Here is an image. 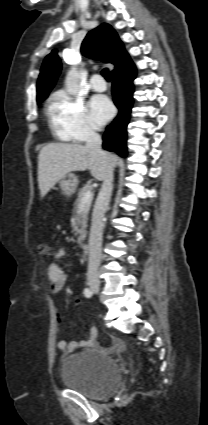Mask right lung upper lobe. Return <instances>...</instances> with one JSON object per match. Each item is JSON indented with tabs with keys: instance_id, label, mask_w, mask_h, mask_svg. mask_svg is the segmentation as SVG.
Listing matches in <instances>:
<instances>
[{
	"instance_id": "right-lung-upper-lobe-1",
	"label": "right lung upper lobe",
	"mask_w": 208,
	"mask_h": 425,
	"mask_svg": "<svg viewBox=\"0 0 208 425\" xmlns=\"http://www.w3.org/2000/svg\"><path fill=\"white\" fill-rule=\"evenodd\" d=\"M82 53L94 59L115 65L111 74L121 71L133 64L124 49L115 30L107 23H103L90 31L81 46ZM61 71V61L57 51L53 50L44 59L37 82V102L45 100Z\"/></svg>"
}]
</instances>
